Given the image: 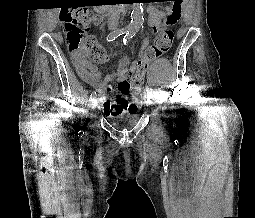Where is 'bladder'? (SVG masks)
I'll return each instance as SVG.
<instances>
[{
  "label": "bladder",
  "instance_id": "1",
  "mask_svg": "<svg viewBox=\"0 0 255 218\" xmlns=\"http://www.w3.org/2000/svg\"><path fill=\"white\" fill-rule=\"evenodd\" d=\"M108 121L115 125L119 130L132 128L137 120L138 114L135 112L112 113L107 116Z\"/></svg>",
  "mask_w": 255,
  "mask_h": 218
}]
</instances>
